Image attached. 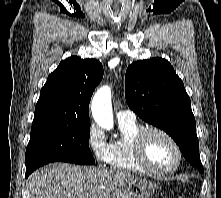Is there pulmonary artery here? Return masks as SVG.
<instances>
[{"label": "pulmonary artery", "mask_w": 221, "mask_h": 198, "mask_svg": "<svg viewBox=\"0 0 221 198\" xmlns=\"http://www.w3.org/2000/svg\"><path fill=\"white\" fill-rule=\"evenodd\" d=\"M117 119L119 122H124V121H135L136 120V114L128 109L125 110H120L117 113Z\"/></svg>", "instance_id": "obj_1"}]
</instances>
